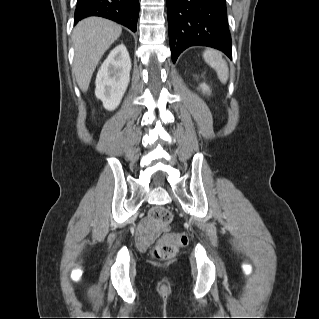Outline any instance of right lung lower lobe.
Here are the masks:
<instances>
[{"mask_svg": "<svg viewBox=\"0 0 319 319\" xmlns=\"http://www.w3.org/2000/svg\"><path fill=\"white\" fill-rule=\"evenodd\" d=\"M138 0H77L74 24L89 16H100L136 31Z\"/></svg>", "mask_w": 319, "mask_h": 319, "instance_id": "obj_1", "label": "right lung lower lobe"}]
</instances>
